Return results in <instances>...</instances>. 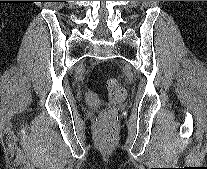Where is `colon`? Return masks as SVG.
Masks as SVG:
<instances>
[{
	"mask_svg": "<svg viewBox=\"0 0 207 169\" xmlns=\"http://www.w3.org/2000/svg\"><path fill=\"white\" fill-rule=\"evenodd\" d=\"M109 100L113 105L121 103L126 97L124 87L115 79L110 78L106 83ZM116 133L115 113L110 108L104 112L96 124L97 138L102 142H110L114 139Z\"/></svg>",
	"mask_w": 207,
	"mask_h": 169,
	"instance_id": "colon-1",
	"label": "colon"
}]
</instances>
